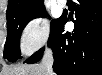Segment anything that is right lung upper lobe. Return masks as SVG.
Masks as SVG:
<instances>
[{"mask_svg": "<svg viewBox=\"0 0 102 75\" xmlns=\"http://www.w3.org/2000/svg\"><path fill=\"white\" fill-rule=\"evenodd\" d=\"M43 0H8L7 16L35 10L44 6Z\"/></svg>", "mask_w": 102, "mask_h": 75, "instance_id": "right-lung-upper-lobe-1", "label": "right lung upper lobe"}]
</instances>
